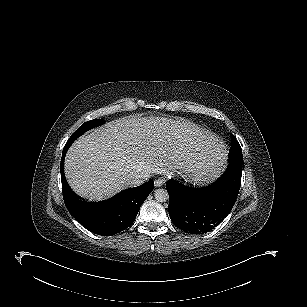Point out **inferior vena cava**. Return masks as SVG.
<instances>
[{"label":"inferior vena cava","mask_w":307,"mask_h":307,"mask_svg":"<svg viewBox=\"0 0 307 307\" xmlns=\"http://www.w3.org/2000/svg\"><path fill=\"white\" fill-rule=\"evenodd\" d=\"M148 178H149V175L147 174L138 175L129 182V186L130 187L139 186L143 184L144 182H146Z\"/></svg>","instance_id":"602c4592"}]
</instances>
